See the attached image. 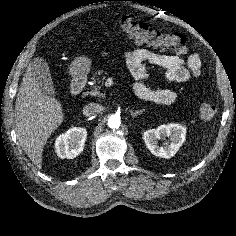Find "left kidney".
Returning a JSON list of instances; mask_svg holds the SVG:
<instances>
[{"mask_svg":"<svg viewBox=\"0 0 236 236\" xmlns=\"http://www.w3.org/2000/svg\"><path fill=\"white\" fill-rule=\"evenodd\" d=\"M170 138V143L158 145V140ZM186 128L180 124L160 125L157 129L144 132L143 139L150 152L158 157L169 159L173 157L185 141Z\"/></svg>","mask_w":236,"mask_h":236,"instance_id":"1","label":"left kidney"}]
</instances>
